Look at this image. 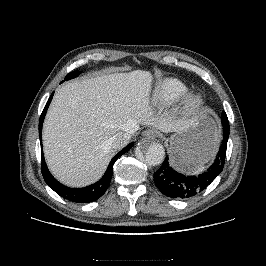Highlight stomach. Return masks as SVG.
<instances>
[{"label":"stomach","mask_w":266,"mask_h":266,"mask_svg":"<svg viewBox=\"0 0 266 266\" xmlns=\"http://www.w3.org/2000/svg\"><path fill=\"white\" fill-rule=\"evenodd\" d=\"M219 143V130L208 110L200 112L169 140L172 164L193 171L212 159Z\"/></svg>","instance_id":"0dacf381"}]
</instances>
